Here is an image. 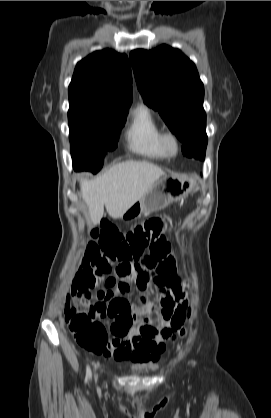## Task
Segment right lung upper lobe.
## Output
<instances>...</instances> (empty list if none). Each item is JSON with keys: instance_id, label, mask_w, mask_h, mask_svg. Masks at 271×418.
<instances>
[{"instance_id": "obj_1", "label": "right lung upper lobe", "mask_w": 271, "mask_h": 418, "mask_svg": "<svg viewBox=\"0 0 271 418\" xmlns=\"http://www.w3.org/2000/svg\"><path fill=\"white\" fill-rule=\"evenodd\" d=\"M70 106L127 113L132 102V76L125 54L106 49L77 63L68 88Z\"/></svg>"}]
</instances>
